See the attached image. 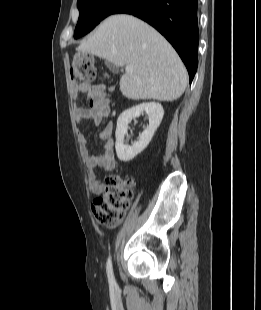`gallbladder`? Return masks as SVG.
<instances>
[{
  "label": "gallbladder",
  "mask_w": 261,
  "mask_h": 310,
  "mask_svg": "<svg viewBox=\"0 0 261 310\" xmlns=\"http://www.w3.org/2000/svg\"><path fill=\"white\" fill-rule=\"evenodd\" d=\"M105 64H106L107 67H108L110 70H112L113 72H115V73L118 72V67H117L115 64H113V63H111V62H109V61H106Z\"/></svg>",
  "instance_id": "gallbladder-1"
}]
</instances>
